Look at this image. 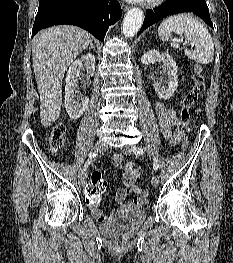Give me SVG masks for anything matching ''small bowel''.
<instances>
[{"mask_svg": "<svg viewBox=\"0 0 233 263\" xmlns=\"http://www.w3.org/2000/svg\"><path fill=\"white\" fill-rule=\"evenodd\" d=\"M155 111L164 138L172 145L180 144L183 141L181 122L175 110L165 102L159 101L155 104ZM113 164L117 168H122V180L124 183V187L119 188L116 192V202L122 205V208H140L143 203L140 200L142 189L137 183L140 174L139 170L130 162L123 166V156L120 154L113 156ZM129 195H133V198L126 202V198ZM99 201L95 202L94 207L90 208V210L98 221L103 222L108 219V216L101 210Z\"/></svg>", "mask_w": 233, "mask_h": 263, "instance_id": "1", "label": "small bowel"}]
</instances>
